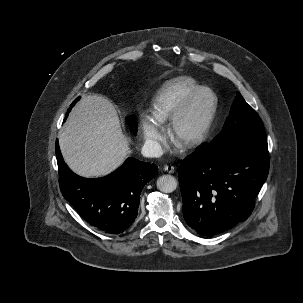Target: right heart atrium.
<instances>
[{"instance_id": "1", "label": "right heart atrium", "mask_w": 303, "mask_h": 303, "mask_svg": "<svg viewBox=\"0 0 303 303\" xmlns=\"http://www.w3.org/2000/svg\"><path fill=\"white\" fill-rule=\"evenodd\" d=\"M143 137L148 147L153 152H158L164 141L162 126L151 116L143 113L140 119Z\"/></svg>"}]
</instances>
